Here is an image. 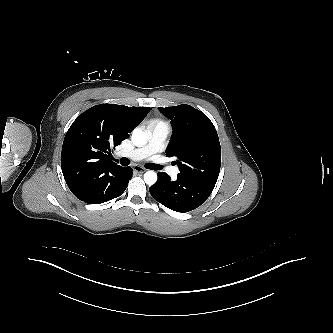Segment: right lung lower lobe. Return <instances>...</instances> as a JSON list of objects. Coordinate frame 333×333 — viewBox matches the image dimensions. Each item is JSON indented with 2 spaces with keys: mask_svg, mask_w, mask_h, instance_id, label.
Segmentation results:
<instances>
[{
  "mask_svg": "<svg viewBox=\"0 0 333 333\" xmlns=\"http://www.w3.org/2000/svg\"><path fill=\"white\" fill-rule=\"evenodd\" d=\"M131 177L132 169L122 167L117 173L102 181L80 200L88 204H100L114 199L123 194Z\"/></svg>",
  "mask_w": 333,
  "mask_h": 333,
  "instance_id": "obj_1",
  "label": "right lung lower lobe"
}]
</instances>
